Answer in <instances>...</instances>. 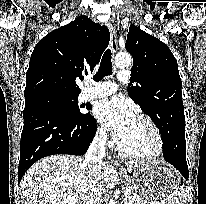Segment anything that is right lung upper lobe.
I'll list each match as a JSON object with an SVG mask.
<instances>
[{
    "label": "right lung upper lobe",
    "instance_id": "obj_1",
    "mask_svg": "<svg viewBox=\"0 0 206 204\" xmlns=\"http://www.w3.org/2000/svg\"><path fill=\"white\" fill-rule=\"evenodd\" d=\"M109 40L108 28L84 15L49 33L31 55L25 98L42 93L79 95L76 78L93 72Z\"/></svg>",
    "mask_w": 206,
    "mask_h": 204
}]
</instances>
